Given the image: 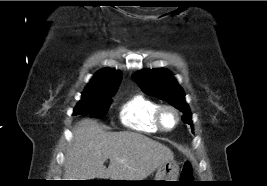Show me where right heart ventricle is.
Instances as JSON below:
<instances>
[{"instance_id": "obj_1", "label": "right heart ventricle", "mask_w": 267, "mask_h": 186, "mask_svg": "<svg viewBox=\"0 0 267 186\" xmlns=\"http://www.w3.org/2000/svg\"><path fill=\"white\" fill-rule=\"evenodd\" d=\"M160 104L142 94H136L128 99L120 109L121 123L134 131L154 134L158 129L154 116Z\"/></svg>"}]
</instances>
